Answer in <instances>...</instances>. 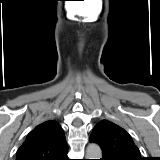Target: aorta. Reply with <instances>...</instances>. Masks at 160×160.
I'll return each instance as SVG.
<instances>
[{
    "instance_id": "aorta-1",
    "label": "aorta",
    "mask_w": 160,
    "mask_h": 160,
    "mask_svg": "<svg viewBox=\"0 0 160 160\" xmlns=\"http://www.w3.org/2000/svg\"><path fill=\"white\" fill-rule=\"evenodd\" d=\"M102 151L98 144H89L86 148V159H101Z\"/></svg>"
}]
</instances>
